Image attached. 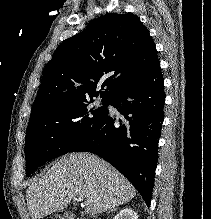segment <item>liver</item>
<instances>
[{
  "label": "liver",
  "mask_w": 211,
  "mask_h": 219,
  "mask_svg": "<svg viewBox=\"0 0 211 219\" xmlns=\"http://www.w3.org/2000/svg\"><path fill=\"white\" fill-rule=\"evenodd\" d=\"M85 199L86 213L95 215L129 202L133 185L103 159L76 153L62 157L29 185L27 207L32 219L66 208L73 196Z\"/></svg>",
  "instance_id": "6515ba94"
}]
</instances>
